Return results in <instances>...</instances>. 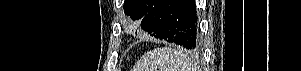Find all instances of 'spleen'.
Here are the masks:
<instances>
[{"label": "spleen", "mask_w": 301, "mask_h": 71, "mask_svg": "<svg viewBox=\"0 0 301 71\" xmlns=\"http://www.w3.org/2000/svg\"><path fill=\"white\" fill-rule=\"evenodd\" d=\"M195 69V62L191 57L169 47L147 52L136 67V71H195Z\"/></svg>", "instance_id": "spleen-1"}]
</instances>
